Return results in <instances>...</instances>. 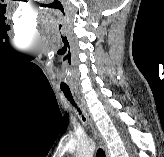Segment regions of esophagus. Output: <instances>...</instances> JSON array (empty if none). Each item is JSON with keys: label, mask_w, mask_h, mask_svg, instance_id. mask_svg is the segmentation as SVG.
<instances>
[{"label": "esophagus", "mask_w": 164, "mask_h": 157, "mask_svg": "<svg viewBox=\"0 0 164 157\" xmlns=\"http://www.w3.org/2000/svg\"><path fill=\"white\" fill-rule=\"evenodd\" d=\"M76 96L79 99V103H80V107L90 125L91 131L94 135V137L97 139V141L99 142L100 146L103 148V150L105 151V157H109V150L107 148L106 142L102 136V134L100 133V131L98 130L95 122L93 121V118L89 112V109L85 103V101L81 98L80 94L78 91H75Z\"/></svg>", "instance_id": "obj_1"}]
</instances>
